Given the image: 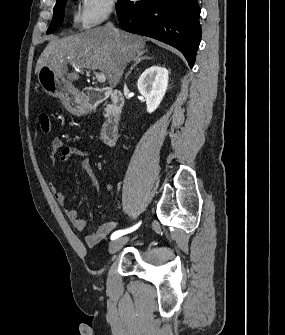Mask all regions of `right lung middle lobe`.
Instances as JSON below:
<instances>
[{
  "mask_svg": "<svg viewBox=\"0 0 285 335\" xmlns=\"http://www.w3.org/2000/svg\"><path fill=\"white\" fill-rule=\"evenodd\" d=\"M67 0H63L54 7V16L52 22L47 30V34H50L55 31V29L61 26L64 18V8Z\"/></svg>",
  "mask_w": 285,
  "mask_h": 335,
  "instance_id": "right-lung-middle-lobe-1",
  "label": "right lung middle lobe"
}]
</instances>
